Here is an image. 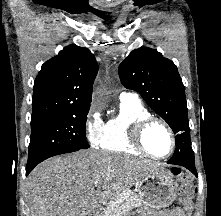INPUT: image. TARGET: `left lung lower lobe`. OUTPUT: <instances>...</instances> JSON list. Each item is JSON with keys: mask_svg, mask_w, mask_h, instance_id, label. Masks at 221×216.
<instances>
[{"mask_svg": "<svg viewBox=\"0 0 221 216\" xmlns=\"http://www.w3.org/2000/svg\"><path fill=\"white\" fill-rule=\"evenodd\" d=\"M169 164L184 166L189 169L192 173L197 175L193 150L183 147L176 146L175 152L172 158L168 161Z\"/></svg>", "mask_w": 221, "mask_h": 216, "instance_id": "obj_1", "label": "left lung lower lobe"}]
</instances>
